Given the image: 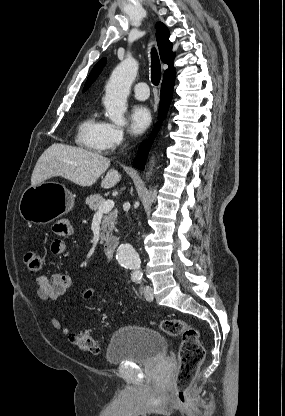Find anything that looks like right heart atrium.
I'll use <instances>...</instances> for the list:
<instances>
[{
	"label": "right heart atrium",
	"mask_w": 285,
	"mask_h": 416,
	"mask_svg": "<svg viewBox=\"0 0 285 416\" xmlns=\"http://www.w3.org/2000/svg\"><path fill=\"white\" fill-rule=\"evenodd\" d=\"M126 139V131L118 124L105 122L101 136V150L110 151L120 147Z\"/></svg>",
	"instance_id": "right-heart-atrium-1"
}]
</instances>
